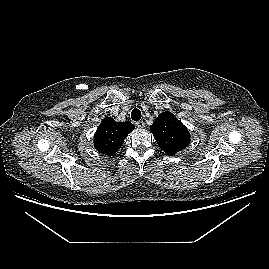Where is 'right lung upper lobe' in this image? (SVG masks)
I'll return each mask as SVG.
<instances>
[{
    "label": "right lung upper lobe",
    "mask_w": 269,
    "mask_h": 269,
    "mask_svg": "<svg viewBox=\"0 0 269 269\" xmlns=\"http://www.w3.org/2000/svg\"><path fill=\"white\" fill-rule=\"evenodd\" d=\"M134 130V125L128 121L116 122L110 117L103 119L94 135L96 150L105 155H114L122 146L126 136Z\"/></svg>",
    "instance_id": "1"
}]
</instances>
